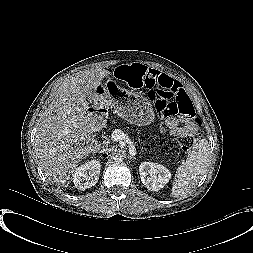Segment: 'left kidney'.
Segmentation results:
<instances>
[{
	"label": "left kidney",
	"mask_w": 253,
	"mask_h": 253,
	"mask_svg": "<svg viewBox=\"0 0 253 253\" xmlns=\"http://www.w3.org/2000/svg\"><path fill=\"white\" fill-rule=\"evenodd\" d=\"M142 183L150 191H158L170 180V171L159 163L142 162L139 166Z\"/></svg>",
	"instance_id": "left-kidney-1"
}]
</instances>
